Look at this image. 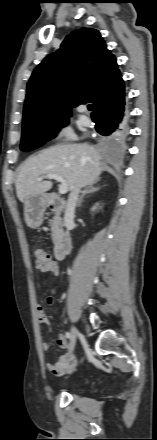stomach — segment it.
Wrapping results in <instances>:
<instances>
[{"mask_svg": "<svg viewBox=\"0 0 157 440\" xmlns=\"http://www.w3.org/2000/svg\"><path fill=\"white\" fill-rule=\"evenodd\" d=\"M47 200L43 195L27 196L24 201V219L28 227L37 228L42 224Z\"/></svg>", "mask_w": 157, "mask_h": 440, "instance_id": "stomach-1", "label": "stomach"}]
</instances>
